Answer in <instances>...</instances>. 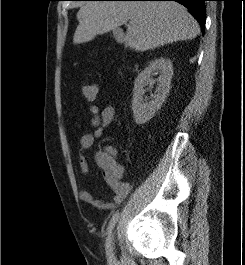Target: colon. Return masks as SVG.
I'll return each instance as SVG.
<instances>
[{
  "label": "colon",
  "mask_w": 245,
  "mask_h": 265,
  "mask_svg": "<svg viewBox=\"0 0 245 265\" xmlns=\"http://www.w3.org/2000/svg\"><path fill=\"white\" fill-rule=\"evenodd\" d=\"M99 92V87L95 83L86 84L82 88V96L86 101H94ZM102 166L105 169L116 172L118 167L109 157L102 158Z\"/></svg>",
  "instance_id": "5ec220e1"
}]
</instances>
